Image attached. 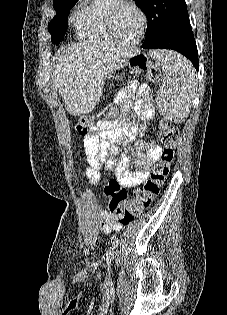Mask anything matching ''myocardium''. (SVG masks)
<instances>
[{"mask_svg":"<svg viewBox=\"0 0 227 315\" xmlns=\"http://www.w3.org/2000/svg\"><path fill=\"white\" fill-rule=\"evenodd\" d=\"M121 6H130L133 9L137 11V13L141 17V29L140 33L137 37L136 40L130 43H123L119 41L116 37L115 34V29H114V20L115 16L117 14V11ZM105 27L107 31V35L109 39L111 40V43H114L116 45L122 46V47H136L138 46L144 39L147 27H148V17L145 11L134 1L132 0H113V2L108 6L107 11H106V16H105Z\"/></svg>","mask_w":227,"mask_h":315,"instance_id":"obj_1","label":"myocardium"}]
</instances>
